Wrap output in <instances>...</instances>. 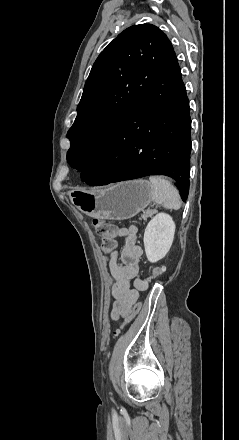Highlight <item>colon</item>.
I'll use <instances>...</instances> for the list:
<instances>
[{
    "mask_svg": "<svg viewBox=\"0 0 239 440\" xmlns=\"http://www.w3.org/2000/svg\"><path fill=\"white\" fill-rule=\"evenodd\" d=\"M93 225L95 227L97 234L101 238L103 250L105 252H110L115 245V237H116L115 226L112 223L108 222L107 220L100 218H95L93 220ZM163 272L164 270L161 267L154 268L150 274V279H154L161 276ZM140 309H141V305L136 304L135 307L133 308L131 315H129L124 320V323L122 324L120 330L116 332V336L120 334L122 328L125 325H127L129 322L133 320V318L139 313Z\"/></svg>",
    "mask_w": 239,
    "mask_h": 440,
    "instance_id": "5ec220e1",
    "label": "colon"
}]
</instances>
